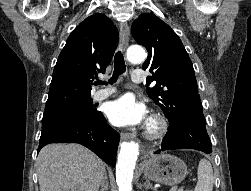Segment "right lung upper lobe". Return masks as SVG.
<instances>
[{
    "label": "right lung upper lobe",
    "mask_w": 251,
    "mask_h": 191,
    "mask_svg": "<svg viewBox=\"0 0 251 191\" xmlns=\"http://www.w3.org/2000/svg\"><path fill=\"white\" fill-rule=\"evenodd\" d=\"M118 41L116 26L103 14L80 23L58 57L45 108L91 98L92 81L105 73Z\"/></svg>",
    "instance_id": "obj_1"
}]
</instances>
